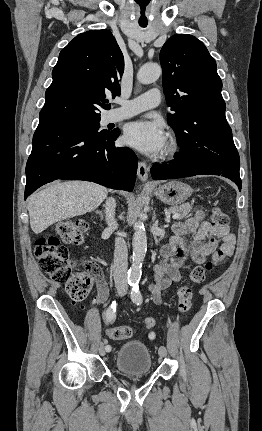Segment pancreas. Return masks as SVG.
<instances>
[{
    "label": "pancreas",
    "instance_id": "obj_1",
    "mask_svg": "<svg viewBox=\"0 0 262 431\" xmlns=\"http://www.w3.org/2000/svg\"><path fill=\"white\" fill-rule=\"evenodd\" d=\"M169 212H171V213H178V214H180V217L178 219H183L190 212V207L187 206V205H182V206H177V207H171V208H169Z\"/></svg>",
    "mask_w": 262,
    "mask_h": 431
}]
</instances>
